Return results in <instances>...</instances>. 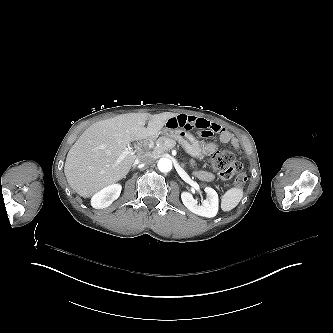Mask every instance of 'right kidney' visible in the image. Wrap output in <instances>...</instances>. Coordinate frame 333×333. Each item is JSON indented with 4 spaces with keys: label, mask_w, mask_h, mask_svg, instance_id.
I'll return each mask as SVG.
<instances>
[{
    "label": "right kidney",
    "mask_w": 333,
    "mask_h": 333,
    "mask_svg": "<svg viewBox=\"0 0 333 333\" xmlns=\"http://www.w3.org/2000/svg\"><path fill=\"white\" fill-rule=\"evenodd\" d=\"M121 193L120 185H111L92 198V206L95 208L109 207L115 200H117Z\"/></svg>",
    "instance_id": "right-kidney-1"
}]
</instances>
